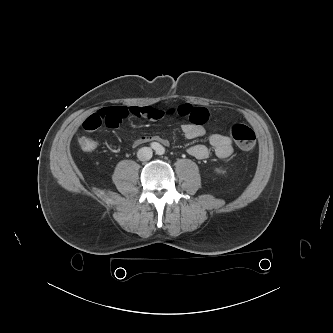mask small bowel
Here are the masks:
<instances>
[{
	"instance_id": "obj_1",
	"label": "small bowel",
	"mask_w": 333,
	"mask_h": 333,
	"mask_svg": "<svg viewBox=\"0 0 333 333\" xmlns=\"http://www.w3.org/2000/svg\"><path fill=\"white\" fill-rule=\"evenodd\" d=\"M179 116L187 119L181 125V131L189 139H197L205 135L204 123L208 120L209 112L206 108L183 103L173 110ZM129 115L143 117L150 120H160L166 113L153 107H109L100 109L88 116L82 123L86 131H94L102 124L116 128ZM150 141H158L168 144L167 138L162 136L142 135L134 140V145L144 144ZM234 150L233 141L229 136L213 133L208 136V144H194L188 148V153L196 159H206L211 151L219 158H228Z\"/></svg>"
}]
</instances>
